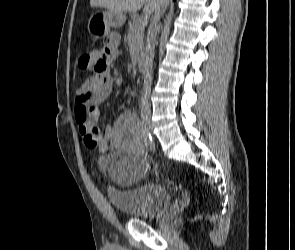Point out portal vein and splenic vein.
I'll return each instance as SVG.
<instances>
[{"label":"portal vein and splenic vein","instance_id":"1","mask_svg":"<svg viewBox=\"0 0 295 250\" xmlns=\"http://www.w3.org/2000/svg\"><path fill=\"white\" fill-rule=\"evenodd\" d=\"M148 15H149V14L144 13V14L142 15V17L140 18L139 23H140V24H143V25L146 24L147 21H148Z\"/></svg>","mask_w":295,"mask_h":250}]
</instances>
